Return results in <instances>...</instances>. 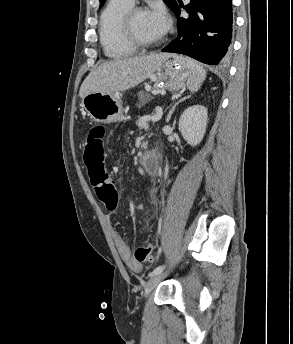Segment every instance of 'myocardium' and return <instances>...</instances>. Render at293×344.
<instances>
[{"label":"myocardium","instance_id":"f54148a6","mask_svg":"<svg viewBox=\"0 0 293 344\" xmlns=\"http://www.w3.org/2000/svg\"><path fill=\"white\" fill-rule=\"evenodd\" d=\"M142 12H146V9L140 6H132L124 13L120 21V30L123 38L137 49H148L162 44L163 38L157 41H145L134 33L132 28L133 19Z\"/></svg>","mask_w":293,"mask_h":344}]
</instances>
